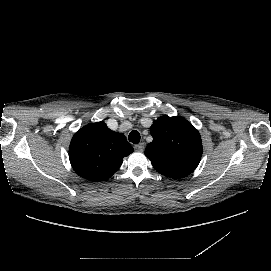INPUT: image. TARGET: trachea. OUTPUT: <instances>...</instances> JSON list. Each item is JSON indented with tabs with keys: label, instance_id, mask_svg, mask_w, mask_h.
<instances>
[{
	"label": "trachea",
	"instance_id": "trachea-1",
	"mask_svg": "<svg viewBox=\"0 0 271 271\" xmlns=\"http://www.w3.org/2000/svg\"><path fill=\"white\" fill-rule=\"evenodd\" d=\"M140 138H141L140 134L136 130H133L132 132H130L129 137H128L129 141L134 144H138L140 142Z\"/></svg>",
	"mask_w": 271,
	"mask_h": 271
}]
</instances>
